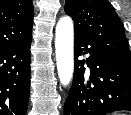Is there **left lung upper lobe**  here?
I'll return each instance as SVG.
<instances>
[{"label": "left lung upper lobe", "instance_id": "5c2ea615", "mask_svg": "<svg viewBox=\"0 0 131 115\" xmlns=\"http://www.w3.org/2000/svg\"><path fill=\"white\" fill-rule=\"evenodd\" d=\"M75 33L93 41L108 57L131 68V52L121 20L108 0H66Z\"/></svg>", "mask_w": 131, "mask_h": 115}]
</instances>
